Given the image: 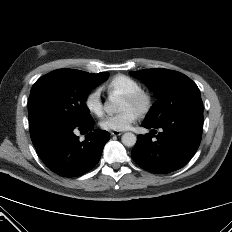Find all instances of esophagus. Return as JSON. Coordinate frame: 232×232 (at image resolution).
Returning <instances> with one entry per match:
<instances>
[{
	"label": "esophagus",
	"instance_id": "1",
	"mask_svg": "<svg viewBox=\"0 0 232 232\" xmlns=\"http://www.w3.org/2000/svg\"><path fill=\"white\" fill-rule=\"evenodd\" d=\"M110 134L111 136H120L122 133L119 131H111Z\"/></svg>",
	"mask_w": 232,
	"mask_h": 232
}]
</instances>
